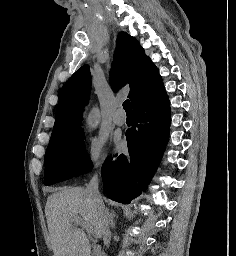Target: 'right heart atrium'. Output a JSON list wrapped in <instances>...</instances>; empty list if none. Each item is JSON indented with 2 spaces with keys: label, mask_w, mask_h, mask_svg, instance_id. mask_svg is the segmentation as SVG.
<instances>
[{
  "label": "right heart atrium",
  "mask_w": 236,
  "mask_h": 256,
  "mask_svg": "<svg viewBox=\"0 0 236 256\" xmlns=\"http://www.w3.org/2000/svg\"><path fill=\"white\" fill-rule=\"evenodd\" d=\"M88 119L93 121L96 118H88ZM103 150H104V144L100 140L94 139L90 141V143L88 144L86 154H85V160L88 168L91 171L93 172L100 171L102 160H103Z\"/></svg>",
  "instance_id": "1"
}]
</instances>
